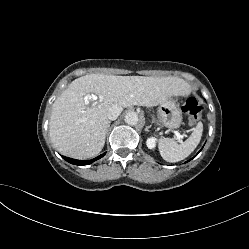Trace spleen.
<instances>
[{
    "instance_id": "1",
    "label": "spleen",
    "mask_w": 249,
    "mask_h": 249,
    "mask_svg": "<svg viewBox=\"0 0 249 249\" xmlns=\"http://www.w3.org/2000/svg\"><path fill=\"white\" fill-rule=\"evenodd\" d=\"M203 132L202 122H198L191 136L178 144L173 139L165 138L159 143L161 156L167 162H178L188 157L198 146Z\"/></svg>"
}]
</instances>
